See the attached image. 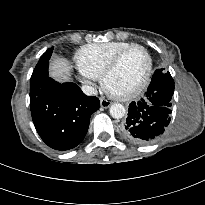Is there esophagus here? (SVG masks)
<instances>
[{
  "label": "esophagus",
  "instance_id": "esophagus-1",
  "mask_svg": "<svg viewBox=\"0 0 205 205\" xmlns=\"http://www.w3.org/2000/svg\"><path fill=\"white\" fill-rule=\"evenodd\" d=\"M100 105L103 108H108L111 105V102L106 100V99H104V98H101L100 99Z\"/></svg>",
  "mask_w": 205,
  "mask_h": 205
}]
</instances>
